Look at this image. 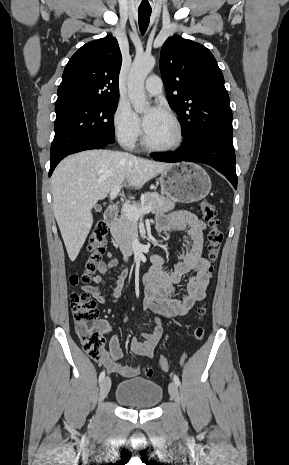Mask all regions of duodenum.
<instances>
[{"instance_id": "obj_1", "label": "duodenum", "mask_w": 289, "mask_h": 465, "mask_svg": "<svg viewBox=\"0 0 289 465\" xmlns=\"http://www.w3.org/2000/svg\"><path fill=\"white\" fill-rule=\"evenodd\" d=\"M118 218V207L117 204H111L107 207L104 213V219L108 226H113ZM156 256H152V260L154 261Z\"/></svg>"}]
</instances>
